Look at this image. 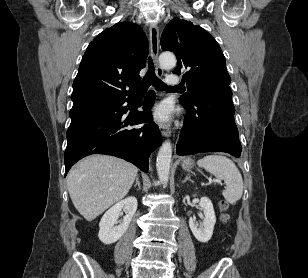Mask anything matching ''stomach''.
I'll return each instance as SVG.
<instances>
[{"label": "stomach", "mask_w": 308, "mask_h": 278, "mask_svg": "<svg viewBox=\"0 0 308 278\" xmlns=\"http://www.w3.org/2000/svg\"><path fill=\"white\" fill-rule=\"evenodd\" d=\"M194 165V162L192 159L190 158H187L185 160H183L182 162V168L185 169V170H190Z\"/></svg>", "instance_id": "1"}]
</instances>
